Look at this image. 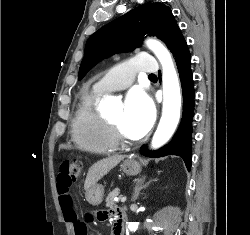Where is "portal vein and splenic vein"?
<instances>
[{"label": "portal vein and splenic vein", "instance_id": "portal-vein-and-splenic-vein-1", "mask_svg": "<svg viewBox=\"0 0 250 235\" xmlns=\"http://www.w3.org/2000/svg\"><path fill=\"white\" fill-rule=\"evenodd\" d=\"M126 199H127L126 196H123L120 200H121L122 203H124V202H126ZM114 200H115L116 202L119 201L118 198H116V199H114Z\"/></svg>", "mask_w": 250, "mask_h": 235}]
</instances>
